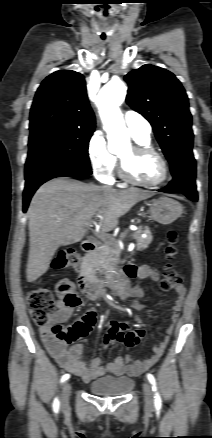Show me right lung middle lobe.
<instances>
[{
	"label": "right lung middle lobe",
	"instance_id": "obj_1",
	"mask_svg": "<svg viewBox=\"0 0 212 438\" xmlns=\"http://www.w3.org/2000/svg\"><path fill=\"white\" fill-rule=\"evenodd\" d=\"M93 131L61 127L32 130L26 163L68 162L90 165L88 145Z\"/></svg>",
	"mask_w": 212,
	"mask_h": 438
}]
</instances>
